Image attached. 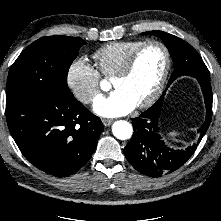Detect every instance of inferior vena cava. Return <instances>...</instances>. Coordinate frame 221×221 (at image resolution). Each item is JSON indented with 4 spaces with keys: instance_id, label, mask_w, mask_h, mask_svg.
Listing matches in <instances>:
<instances>
[{
    "instance_id": "inferior-vena-cava-1",
    "label": "inferior vena cava",
    "mask_w": 221,
    "mask_h": 221,
    "mask_svg": "<svg viewBox=\"0 0 221 221\" xmlns=\"http://www.w3.org/2000/svg\"><path fill=\"white\" fill-rule=\"evenodd\" d=\"M90 98V95H86L84 101H87Z\"/></svg>"
}]
</instances>
